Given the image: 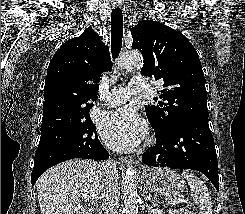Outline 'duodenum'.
Here are the masks:
<instances>
[{"instance_id": "obj_1", "label": "duodenum", "mask_w": 245, "mask_h": 214, "mask_svg": "<svg viewBox=\"0 0 245 214\" xmlns=\"http://www.w3.org/2000/svg\"><path fill=\"white\" fill-rule=\"evenodd\" d=\"M86 214H101V210L98 205H91Z\"/></svg>"}]
</instances>
